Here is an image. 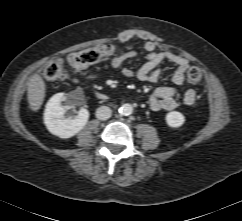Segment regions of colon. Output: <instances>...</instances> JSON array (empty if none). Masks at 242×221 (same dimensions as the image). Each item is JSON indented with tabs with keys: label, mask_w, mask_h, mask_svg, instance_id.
I'll return each instance as SVG.
<instances>
[{
	"label": "colon",
	"mask_w": 242,
	"mask_h": 221,
	"mask_svg": "<svg viewBox=\"0 0 242 221\" xmlns=\"http://www.w3.org/2000/svg\"><path fill=\"white\" fill-rule=\"evenodd\" d=\"M116 47L113 44H101L94 48H89L69 54L67 61L73 71L78 72L86 67L100 61H104L114 55ZM43 79L47 83H53L63 80L67 76L65 64L62 59H56L50 62L42 72ZM203 79L202 70L195 65L187 69V80L193 85L201 83Z\"/></svg>",
	"instance_id": "1"
}]
</instances>
